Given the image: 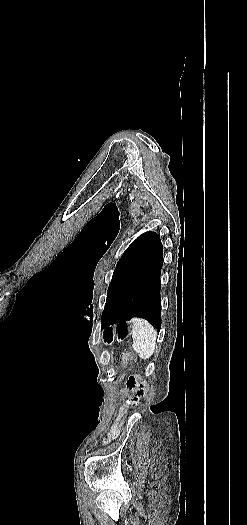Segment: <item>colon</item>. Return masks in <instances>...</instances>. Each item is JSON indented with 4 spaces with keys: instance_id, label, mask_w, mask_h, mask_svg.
<instances>
[{
    "instance_id": "obj_1",
    "label": "colon",
    "mask_w": 247,
    "mask_h": 525,
    "mask_svg": "<svg viewBox=\"0 0 247 525\" xmlns=\"http://www.w3.org/2000/svg\"><path fill=\"white\" fill-rule=\"evenodd\" d=\"M124 359L127 361V360H130L131 359V355L130 354H126L124 355ZM128 385L132 388H136L137 389V396L135 398H133L132 400H130V404H134L136 403L137 399L142 397L144 395V381H143V378L141 377L140 374H136V375H131L129 378H128Z\"/></svg>"
}]
</instances>
